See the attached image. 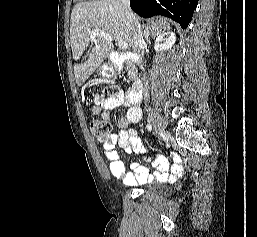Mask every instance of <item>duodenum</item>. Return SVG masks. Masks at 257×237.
Segmentation results:
<instances>
[{
    "instance_id": "obj_1",
    "label": "duodenum",
    "mask_w": 257,
    "mask_h": 237,
    "mask_svg": "<svg viewBox=\"0 0 257 237\" xmlns=\"http://www.w3.org/2000/svg\"><path fill=\"white\" fill-rule=\"evenodd\" d=\"M141 56L135 52H124L117 55L114 59V69H120L125 62L140 64ZM127 98L129 101L136 103L142 98V80L138 77L133 84L127 89Z\"/></svg>"
}]
</instances>
